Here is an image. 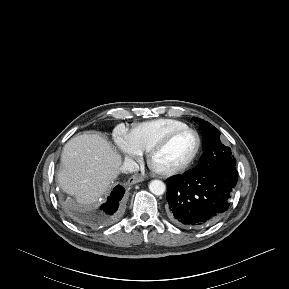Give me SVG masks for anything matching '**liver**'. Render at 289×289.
I'll list each match as a JSON object with an SVG mask.
<instances>
[{"mask_svg":"<svg viewBox=\"0 0 289 289\" xmlns=\"http://www.w3.org/2000/svg\"><path fill=\"white\" fill-rule=\"evenodd\" d=\"M59 186L80 204L95 203L106 194L117 178L121 156L99 134H82L71 138L61 155Z\"/></svg>","mask_w":289,"mask_h":289,"instance_id":"obj_1","label":"liver"}]
</instances>
